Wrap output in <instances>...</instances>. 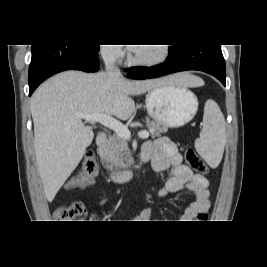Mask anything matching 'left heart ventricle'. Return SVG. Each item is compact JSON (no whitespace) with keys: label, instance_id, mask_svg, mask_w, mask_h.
<instances>
[{"label":"left heart ventricle","instance_id":"left-heart-ventricle-1","mask_svg":"<svg viewBox=\"0 0 267 267\" xmlns=\"http://www.w3.org/2000/svg\"><path fill=\"white\" fill-rule=\"evenodd\" d=\"M160 52V46H141L134 51V54L138 59L144 60L155 58Z\"/></svg>","mask_w":267,"mask_h":267}]
</instances>
